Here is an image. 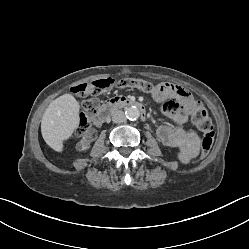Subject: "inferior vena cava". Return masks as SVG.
<instances>
[{
	"mask_svg": "<svg viewBox=\"0 0 249 249\" xmlns=\"http://www.w3.org/2000/svg\"><path fill=\"white\" fill-rule=\"evenodd\" d=\"M112 121L114 123H122L126 121V115L122 110H116L112 113Z\"/></svg>",
	"mask_w": 249,
	"mask_h": 249,
	"instance_id": "obj_1",
	"label": "inferior vena cava"
}]
</instances>
